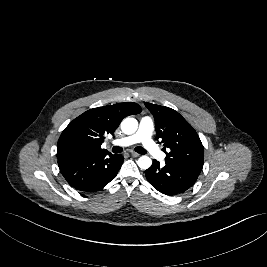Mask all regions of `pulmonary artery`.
<instances>
[{"label": "pulmonary artery", "mask_w": 267, "mask_h": 267, "mask_svg": "<svg viewBox=\"0 0 267 267\" xmlns=\"http://www.w3.org/2000/svg\"><path fill=\"white\" fill-rule=\"evenodd\" d=\"M153 131V119L149 116H145L140 120L138 130L134 134L116 139L112 144L117 146H129L135 143H141L153 157L163 159L164 155L152 140Z\"/></svg>", "instance_id": "e3ab8cb5"}]
</instances>
